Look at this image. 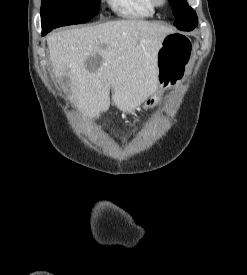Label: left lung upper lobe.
I'll use <instances>...</instances> for the list:
<instances>
[{
  "label": "left lung upper lobe",
  "instance_id": "1",
  "mask_svg": "<svg viewBox=\"0 0 247 275\" xmlns=\"http://www.w3.org/2000/svg\"><path fill=\"white\" fill-rule=\"evenodd\" d=\"M173 14L177 20V28L182 31H191L198 23L195 11L187 4L186 0H169Z\"/></svg>",
  "mask_w": 247,
  "mask_h": 275
}]
</instances>
